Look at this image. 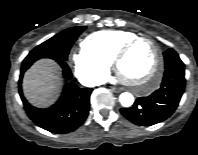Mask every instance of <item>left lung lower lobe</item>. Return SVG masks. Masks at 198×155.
<instances>
[{"label": "left lung lower lobe", "mask_w": 198, "mask_h": 155, "mask_svg": "<svg viewBox=\"0 0 198 155\" xmlns=\"http://www.w3.org/2000/svg\"><path fill=\"white\" fill-rule=\"evenodd\" d=\"M184 88V65H172L165 70L158 90L148 97H140L132 107L121 109V113L136 125L157 124L174 113Z\"/></svg>", "instance_id": "left-lung-lower-lobe-1"}]
</instances>
